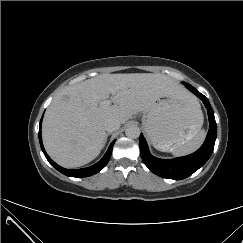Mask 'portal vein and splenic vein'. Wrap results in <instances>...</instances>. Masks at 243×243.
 Listing matches in <instances>:
<instances>
[{
  "label": "portal vein and splenic vein",
  "instance_id": "obj_1",
  "mask_svg": "<svg viewBox=\"0 0 243 243\" xmlns=\"http://www.w3.org/2000/svg\"><path fill=\"white\" fill-rule=\"evenodd\" d=\"M115 91H116V89L113 90V92H115ZM111 103H112V99L111 100H105V101L102 102V104L104 106H109V105H111Z\"/></svg>",
  "mask_w": 243,
  "mask_h": 243
}]
</instances>
